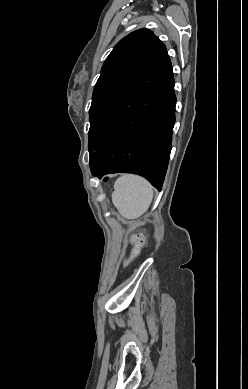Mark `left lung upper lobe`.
<instances>
[{
	"label": "left lung upper lobe",
	"instance_id": "5c2ea615",
	"mask_svg": "<svg viewBox=\"0 0 248 389\" xmlns=\"http://www.w3.org/2000/svg\"><path fill=\"white\" fill-rule=\"evenodd\" d=\"M165 51V45L149 29H139L130 33L111 51L104 62L92 95L89 110V156L107 141L95 133L93 125L96 119Z\"/></svg>",
	"mask_w": 248,
	"mask_h": 389
}]
</instances>
